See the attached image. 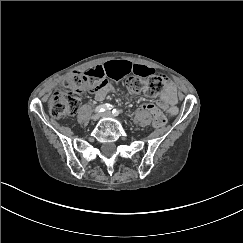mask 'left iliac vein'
I'll return each instance as SVG.
<instances>
[{"label": "left iliac vein", "mask_w": 243, "mask_h": 243, "mask_svg": "<svg viewBox=\"0 0 243 243\" xmlns=\"http://www.w3.org/2000/svg\"><path fill=\"white\" fill-rule=\"evenodd\" d=\"M101 116H103V117H112V114H111V112L106 111V112L102 113Z\"/></svg>", "instance_id": "1"}]
</instances>
